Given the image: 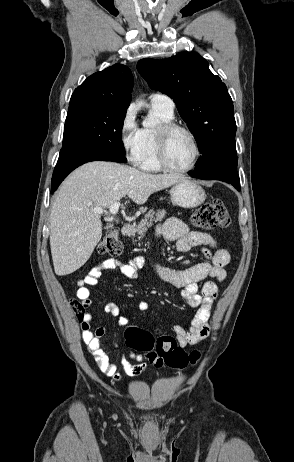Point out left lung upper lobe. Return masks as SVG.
I'll list each match as a JSON object with an SVG mask.
<instances>
[{
  "label": "left lung upper lobe",
  "mask_w": 294,
  "mask_h": 462,
  "mask_svg": "<svg viewBox=\"0 0 294 462\" xmlns=\"http://www.w3.org/2000/svg\"><path fill=\"white\" fill-rule=\"evenodd\" d=\"M208 62L193 52L162 59H142L139 73L150 87L170 96L182 119L196 136L201 154L236 148L232 99Z\"/></svg>",
  "instance_id": "5c2ea615"
}]
</instances>
